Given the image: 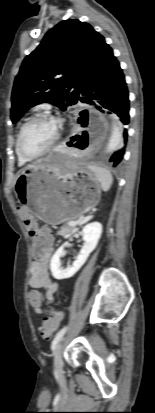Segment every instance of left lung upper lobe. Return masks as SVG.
Here are the masks:
<instances>
[{
	"instance_id": "obj_1",
	"label": "left lung upper lobe",
	"mask_w": 155,
	"mask_h": 413,
	"mask_svg": "<svg viewBox=\"0 0 155 413\" xmlns=\"http://www.w3.org/2000/svg\"><path fill=\"white\" fill-rule=\"evenodd\" d=\"M107 44L93 27L78 19L61 21L28 55L15 78L11 120L15 124L32 106L46 102L63 111L77 103L83 82Z\"/></svg>"
}]
</instances>
